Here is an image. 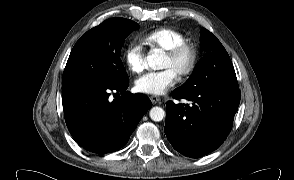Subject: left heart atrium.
<instances>
[{"instance_id": "1", "label": "left heart atrium", "mask_w": 294, "mask_h": 180, "mask_svg": "<svg viewBox=\"0 0 294 180\" xmlns=\"http://www.w3.org/2000/svg\"><path fill=\"white\" fill-rule=\"evenodd\" d=\"M177 82V74L170 68L148 72L135 81V89L143 94L160 96L165 94Z\"/></svg>"}]
</instances>
